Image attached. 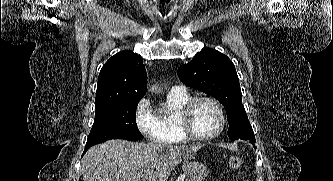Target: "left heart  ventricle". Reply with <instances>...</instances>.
<instances>
[{"label": "left heart ventricle", "mask_w": 333, "mask_h": 181, "mask_svg": "<svg viewBox=\"0 0 333 181\" xmlns=\"http://www.w3.org/2000/svg\"><path fill=\"white\" fill-rule=\"evenodd\" d=\"M192 127L200 136H210L219 127L220 120L213 105L208 102H199L191 116Z\"/></svg>", "instance_id": "b2bd125f"}]
</instances>
